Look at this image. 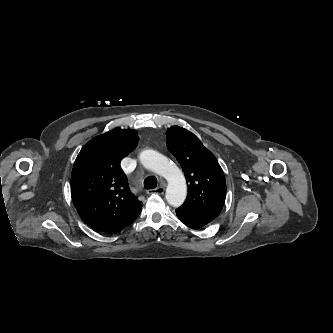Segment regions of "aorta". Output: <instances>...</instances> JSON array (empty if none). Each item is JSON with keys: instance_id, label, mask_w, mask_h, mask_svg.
Instances as JSON below:
<instances>
[{"instance_id": "obj_1", "label": "aorta", "mask_w": 333, "mask_h": 333, "mask_svg": "<svg viewBox=\"0 0 333 333\" xmlns=\"http://www.w3.org/2000/svg\"><path fill=\"white\" fill-rule=\"evenodd\" d=\"M139 159L145 168L167 180L166 200L174 207L180 206L187 194L186 182L181 170L169 162L165 156L154 150L142 151Z\"/></svg>"}]
</instances>
